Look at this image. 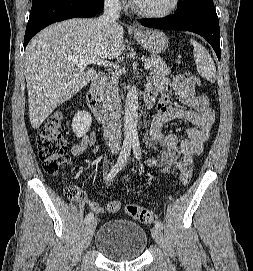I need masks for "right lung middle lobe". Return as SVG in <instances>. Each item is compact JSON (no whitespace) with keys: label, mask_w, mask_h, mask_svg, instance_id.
<instances>
[{"label":"right lung middle lobe","mask_w":253,"mask_h":271,"mask_svg":"<svg viewBox=\"0 0 253 271\" xmlns=\"http://www.w3.org/2000/svg\"><path fill=\"white\" fill-rule=\"evenodd\" d=\"M44 1H48V0H32V6L37 4V3L44 2Z\"/></svg>","instance_id":"dd1d6c3e"}]
</instances>
